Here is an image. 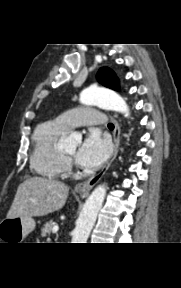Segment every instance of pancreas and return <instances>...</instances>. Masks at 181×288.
Returning a JSON list of instances; mask_svg holds the SVG:
<instances>
[{
  "mask_svg": "<svg viewBox=\"0 0 181 288\" xmlns=\"http://www.w3.org/2000/svg\"><path fill=\"white\" fill-rule=\"evenodd\" d=\"M55 225H56V223L53 222L52 220L46 222L44 224V227H42V229H41V236L46 237L47 234H50Z\"/></svg>",
  "mask_w": 181,
  "mask_h": 288,
  "instance_id": "cf45deb5",
  "label": "pancreas"
}]
</instances>
